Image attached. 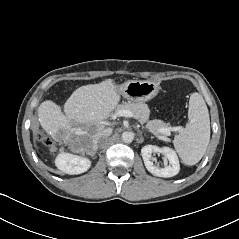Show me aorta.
I'll list each match as a JSON object with an SVG mask.
<instances>
[{
    "mask_svg": "<svg viewBox=\"0 0 239 239\" xmlns=\"http://www.w3.org/2000/svg\"><path fill=\"white\" fill-rule=\"evenodd\" d=\"M134 139V135L132 132H123L122 133V140L125 142V143H131Z\"/></svg>",
    "mask_w": 239,
    "mask_h": 239,
    "instance_id": "obj_1",
    "label": "aorta"
}]
</instances>
